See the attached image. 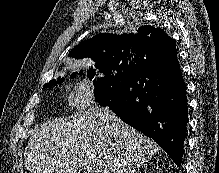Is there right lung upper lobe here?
I'll return each instance as SVG.
<instances>
[{
	"label": "right lung upper lobe",
	"mask_w": 219,
	"mask_h": 173,
	"mask_svg": "<svg viewBox=\"0 0 219 173\" xmlns=\"http://www.w3.org/2000/svg\"><path fill=\"white\" fill-rule=\"evenodd\" d=\"M69 56L76 59L92 58L95 65L88 75L96 73L103 65L132 63L138 67L147 60L155 59L157 63L167 66L177 58L174 40L162 29L152 26H142L136 34H98L77 45ZM51 83L56 82L53 80L48 84Z\"/></svg>",
	"instance_id": "1"
}]
</instances>
